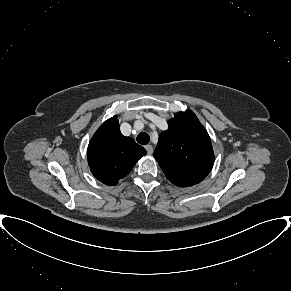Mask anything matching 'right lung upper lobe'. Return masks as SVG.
<instances>
[{
  "instance_id": "1",
  "label": "right lung upper lobe",
  "mask_w": 291,
  "mask_h": 291,
  "mask_svg": "<svg viewBox=\"0 0 291 291\" xmlns=\"http://www.w3.org/2000/svg\"><path fill=\"white\" fill-rule=\"evenodd\" d=\"M146 150L121 134L117 116L106 120L89 142L88 164L92 174L106 185H116L129 174Z\"/></svg>"
}]
</instances>
